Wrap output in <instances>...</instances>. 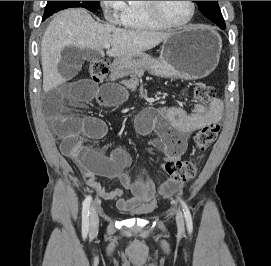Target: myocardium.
Returning <instances> with one entry per match:
<instances>
[{"mask_svg":"<svg viewBox=\"0 0 271 266\" xmlns=\"http://www.w3.org/2000/svg\"><path fill=\"white\" fill-rule=\"evenodd\" d=\"M191 7L189 18L183 23H172L166 20L157 9V1H143L142 8L144 12L158 25L171 28V29H182L189 26L194 20L196 14V4L194 1H188Z\"/></svg>","mask_w":271,"mask_h":266,"instance_id":"myocardium-1","label":"myocardium"}]
</instances>
